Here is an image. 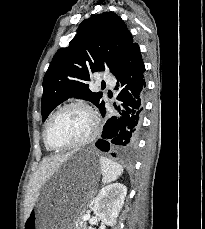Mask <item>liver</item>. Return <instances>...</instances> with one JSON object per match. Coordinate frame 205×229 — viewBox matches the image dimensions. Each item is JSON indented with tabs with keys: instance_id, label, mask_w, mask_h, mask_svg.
I'll use <instances>...</instances> for the list:
<instances>
[{
	"instance_id": "obj_1",
	"label": "liver",
	"mask_w": 205,
	"mask_h": 229,
	"mask_svg": "<svg viewBox=\"0 0 205 229\" xmlns=\"http://www.w3.org/2000/svg\"><path fill=\"white\" fill-rule=\"evenodd\" d=\"M73 153H67L65 155H55L45 157L38 169L35 172L29 183V190L25 200V213L24 219L28 217L30 212L37 201L39 190L42 185L59 169V167L66 162Z\"/></svg>"
}]
</instances>
